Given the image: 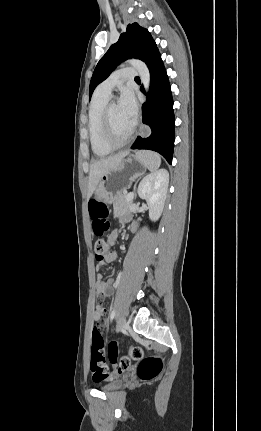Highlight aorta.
Masks as SVG:
<instances>
[{
  "label": "aorta",
  "instance_id": "obj_1",
  "mask_svg": "<svg viewBox=\"0 0 261 431\" xmlns=\"http://www.w3.org/2000/svg\"><path fill=\"white\" fill-rule=\"evenodd\" d=\"M128 62L130 63L131 66H133L137 70V72L139 73L140 79L142 81V84L145 88V91L148 92L150 87V72L147 65L144 62L137 59H131Z\"/></svg>",
  "mask_w": 261,
  "mask_h": 431
}]
</instances>
